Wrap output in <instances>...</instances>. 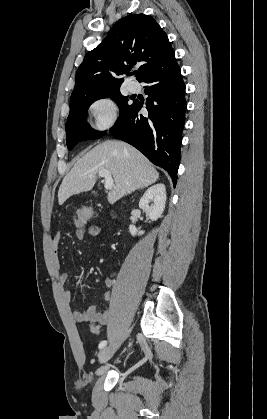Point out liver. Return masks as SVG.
Returning <instances> with one entry per match:
<instances>
[{
    "mask_svg": "<svg viewBox=\"0 0 267 419\" xmlns=\"http://www.w3.org/2000/svg\"><path fill=\"white\" fill-rule=\"evenodd\" d=\"M102 169L108 170L115 182L108 194L111 204L139 188L148 187L159 178L157 170L136 148L121 141L107 140L80 158L64 177L58 191L59 204L74 194L91 190Z\"/></svg>",
    "mask_w": 267,
    "mask_h": 419,
    "instance_id": "6515ba94",
    "label": "liver"
}]
</instances>
